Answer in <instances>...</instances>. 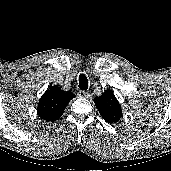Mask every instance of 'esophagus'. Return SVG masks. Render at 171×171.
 I'll list each match as a JSON object with an SVG mask.
<instances>
[{
	"label": "esophagus",
	"mask_w": 171,
	"mask_h": 171,
	"mask_svg": "<svg viewBox=\"0 0 171 171\" xmlns=\"http://www.w3.org/2000/svg\"><path fill=\"white\" fill-rule=\"evenodd\" d=\"M78 97L80 98H89L90 94L86 91H83V90H80L78 93H77Z\"/></svg>",
	"instance_id": "34e87169"
}]
</instances>
